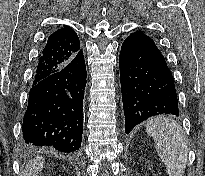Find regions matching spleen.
I'll list each match as a JSON object with an SVG mask.
<instances>
[{"label":"spleen","instance_id":"3e777b00","mask_svg":"<svg viewBox=\"0 0 205 176\" xmlns=\"http://www.w3.org/2000/svg\"><path fill=\"white\" fill-rule=\"evenodd\" d=\"M146 132L154 139L168 175L183 176L188 146L180 124L173 119L159 116L147 123Z\"/></svg>","mask_w":205,"mask_h":176}]
</instances>
